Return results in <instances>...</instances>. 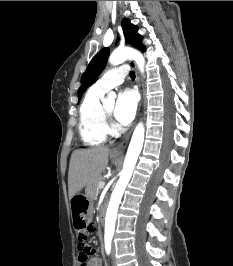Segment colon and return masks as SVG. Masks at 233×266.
<instances>
[{
    "label": "colon",
    "instance_id": "obj_1",
    "mask_svg": "<svg viewBox=\"0 0 233 266\" xmlns=\"http://www.w3.org/2000/svg\"><path fill=\"white\" fill-rule=\"evenodd\" d=\"M95 231V225H88L86 232L78 234L79 266H85L88 258L94 253V249L87 243V234Z\"/></svg>",
    "mask_w": 233,
    "mask_h": 266
}]
</instances>
